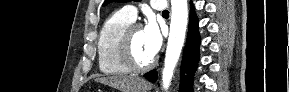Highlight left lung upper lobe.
Segmentation results:
<instances>
[{
    "label": "left lung upper lobe",
    "instance_id": "obj_1",
    "mask_svg": "<svg viewBox=\"0 0 289 92\" xmlns=\"http://www.w3.org/2000/svg\"><path fill=\"white\" fill-rule=\"evenodd\" d=\"M112 1H114V2H116V1L117 2H129L131 0H105L103 6H106L108 3L112 2ZM134 1H140V0H134Z\"/></svg>",
    "mask_w": 289,
    "mask_h": 92
}]
</instances>
